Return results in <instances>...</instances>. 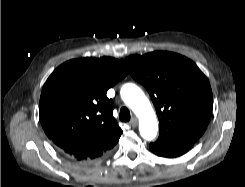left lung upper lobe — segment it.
Segmentation results:
<instances>
[{
	"mask_svg": "<svg viewBox=\"0 0 245 187\" xmlns=\"http://www.w3.org/2000/svg\"><path fill=\"white\" fill-rule=\"evenodd\" d=\"M131 76L149 92L160 122L159 139H199L209 123L213 96L210 84L190 59L155 51L124 60Z\"/></svg>",
	"mask_w": 245,
	"mask_h": 187,
	"instance_id": "left-lung-upper-lobe-1",
	"label": "left lung upper lobe"
}]
</instances>
